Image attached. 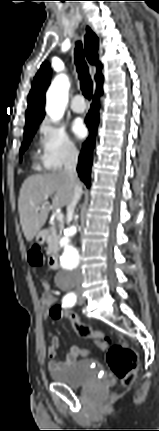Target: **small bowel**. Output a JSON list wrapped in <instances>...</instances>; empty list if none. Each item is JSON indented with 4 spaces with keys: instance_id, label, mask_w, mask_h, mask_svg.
Segmentation results:
<instances>
[{
    "instance_id": "c3829d8e",
    "label": "small bowel",
    "mask_w": 159,
    "mask_h": 431,
    "mask_svg": "<svg viewBox=\"0 0 159 431\" xmlns=\"http://www.w3.org/2000/svg\"><path fill=\"white\" fill-rule=\"evenodd\" d=\"M41 283H42V287L44 289V293H43L42 298H41V305H42V308H43L45 314L51 316L52 310L47 308L46 297L54 296L55 301H57V298L52 293V287L47 280H42ZM53 307H54V305H52V309H53ZM76 311L80 313L79 310H76ZM58 347H59V340H58L57 336L50 335L49 345H48L46 354H47V357L49 360L48 361V367L51 370H57V369L65 368V367L72 365L74 362L77 361V359L81 356V354H88V353H80V350H89V348H80V347L75 346V345L71 346L69 351L67 352L64 360L58 361L56 359Z\"/></svg>"
}]
</instances>
